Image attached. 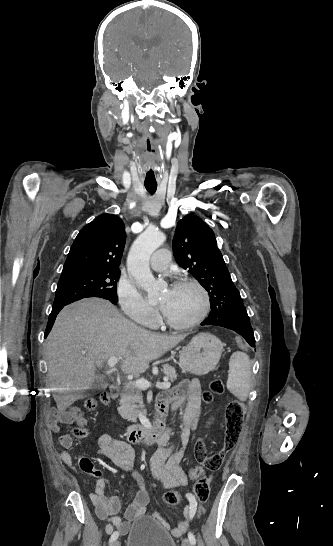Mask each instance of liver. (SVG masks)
I'll return each mask as SVG.
<instances>
[{
	"instance_id": "liver-1",
	"label": "liver",
	"mask_w": 333,
	"mask_h": 546,
	"mask_svg": "<svg viewBox=\"0 0 333 546\" xmlns=\"http://www.w3.org/2000/svg\"><path fill=\"white\" fill-rule=\"evenodd\" d=\"M185 337L159 335L138 327L103 299L67 305L57 316L45 345L48 378L58 411L63 413L79 398L78 392L92 387L97 368L110 357H118L127 374L139 375Z\"/></svg>"
}]
</instances>
